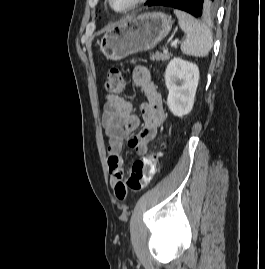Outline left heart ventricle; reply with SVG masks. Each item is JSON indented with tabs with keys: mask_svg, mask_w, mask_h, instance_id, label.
I'll return each instance as SVG.
<instances>
[{
	"mask_svg": "<svg viewBox=\"0 0 265 269\" xmlns=\"http://www.w3.org/2000/svg\"><path fill=\"white\" fill-rule=\"evenodd\" d=\"M132 0H113V5L117 9L126 7Z\"/></svg>",
	"mask_w": 265,
	"mask_h": 269,
	"instance_id": "obj_1",
	"label": "left heart ventricle"
}]
</instances>
